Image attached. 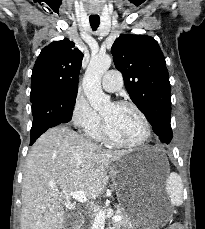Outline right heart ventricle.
I'll list each match as a JSON object with an SVG mask.
<instances>
[{"instance_id": "right-heart-ventricle-1", "label": "right heart ventricle", "mask_w": 205, "mask_h": 229, "mask_svg": "<svg viewBox=\"0 0 205 229\" xmlns=\"http://www.w3.org/2000/svg\"><path fill=\"white\" fill-rule=\"evenodd\" d=\"M88 135L90 137H92L93 139L102 140L103 139V136H102V132H101V125H98L95 129H93L92 131H90L88 133Z\"/></svg>"}]
</instances>
